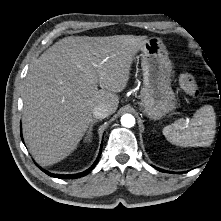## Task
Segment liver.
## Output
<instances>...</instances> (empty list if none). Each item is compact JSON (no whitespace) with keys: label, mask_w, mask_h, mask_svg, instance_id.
Returning <instances> with one entry per match:
<instances>
[{"label":"liver","mask_w":221,"mask_h":221,"mask_svg":"<svg viewBox=\"0 0 221 221\" xmlns=\"http://www.w3.org/2000/svg\"><path fill=\"white\" fill-rule=\"evenodd\" d=\"M145 36L66 37L30 65L23 91V134L36 162L55 164L72 153L105 104L116 112L131 64ZM101 89H98V85Z\"/></svg>","instance_id":"obj_1"}]
</instances>
